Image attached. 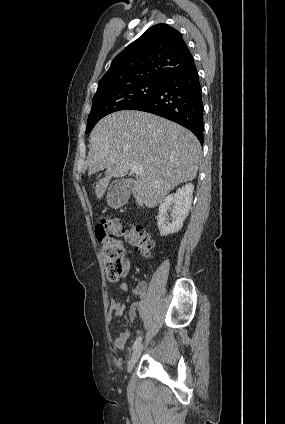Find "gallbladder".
I'll use <instances>...</instances> for the list:
<instances>
[{
    "label": "gallbladder",
    "mask_w": 285,
    "mask_h": 424,
    "mask_svg": "<svg viewBox=\"0 0 285 424\" xmlns=\"http://www.w3.org/2000/svg\"><path fill=\"white\" fill-rule=\"evenodd\" d=\"M126 182H127V180H117L116 181V184L122 185V184H124Z\"/></svg>",
    "instance_id": "gallbladder-1"
}]
</instances>
